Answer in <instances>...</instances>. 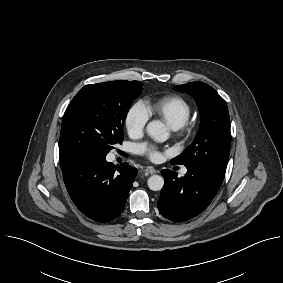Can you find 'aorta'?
Returning <instances> with one entry per match:
<instances>
[{"label":"aorta","mask_w":283,"mask_h":283,"mask_svg":"<svg viewBox=\"0 0 283 283\" xmlns=\"http://www.w3.org/2000/svg\"><path fill=\"white\" fill-rule=\"evenodd\" d=\"M147 134L157 142H164L168 139V133L159 121H151L146 127ZM148 187L152 191H160L164 185V179L159 175H152L148 179Z\"/></svg>","instance_id":"aorta-1"}]
</instances>
